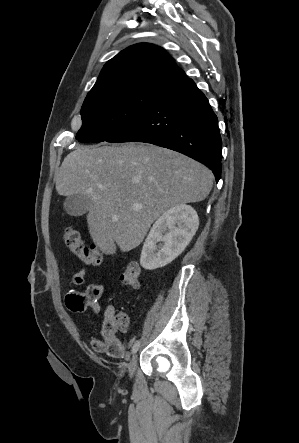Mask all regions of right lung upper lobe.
Masks as SVG:
<instances>
[{
	"label": "right lung upper lobe",
	"instance_id": "obj_1",
	"mask_svg": "<svg viewBox=\"0 0 299 443\" xmlns=\"http://www.w3.org/2000/svg\"><path fill=\"white\" fill-rule=\"evenodd\" d=\"M185 78L184 71L163 48L139 43L121 51L104 65L87 97L119 88L166 90Z\"/></svg>",
	"mask_w": 299,
	"mask_h": 443
}]
</instances>
